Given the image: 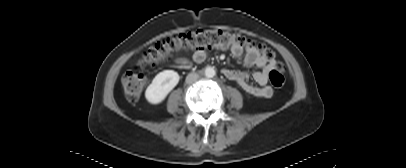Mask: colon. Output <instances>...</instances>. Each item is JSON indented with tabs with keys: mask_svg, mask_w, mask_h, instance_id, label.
<instances>
[{
	"mask_svg": "<svg viewBox=\"0 0 406 168\" xmlns=\"http://www.w3.org/2000/svg\"><path fill=\"white\" fill-rule=\"evenodd\" d=\"M254 48L267 60L274 57L272 50L262 43H257L244 35L229 33L219 29H198L175 36L168 37L156 42L143 55L139 62L140 67L154 66L167 61L170 57L189 50L205 49H242ZM269 81L275 88L284 85L285 78L282 74V64L276 63V67L269 72ZM145 77L137 72L129 70L122 77V86L127 99L135 102L140 97L145 86Z\"/></svg>",
	"mask_w": 406,
	"mask_h": 168,
	"instance_id": "1",
	"label": "colon"
}]
</instances>
